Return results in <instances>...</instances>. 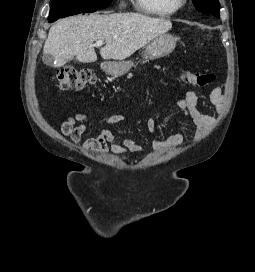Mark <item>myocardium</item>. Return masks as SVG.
<instances>
[{
    "mask_svg": "<svg viewBox=\"0 0 255 272\" xmlns=\"http://www.w3.org/2000/svg\"><path fill=\"white\" fill-rule=\"evenodd\" d=\"M170 3L176 8V9H180L181 7H183L187 0H169Z\"/></svg>",
    "mask_w": 255,
    "mask_h": 272,
    "instance_id": "obj_1",
    "label": "myocardium"
}]
</instances>
